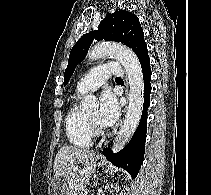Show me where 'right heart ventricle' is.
Returning a JSON list of instances; mask_svg holds the SVG:
<instances>
[{"instance_id":"1","label":"right heart ventricle","mask_w":211,"mask_h":195,"mask_svg":"<svg viewBox=\"0 0 211 195\" xmlns=\"http://www.w3.org/2000/svg\"><path fill=\"white\" fill-rule=\"evenodd\" d=\"M66 133L70 141L78 147H89L93 141V133L88 115L73 105L65 120Z\"/></svg>"}]
</instances>
